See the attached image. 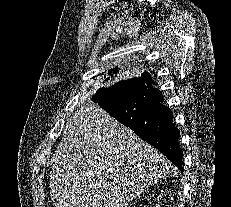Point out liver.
Instances as JSON below:
<instances>
[{"label":"liver","mask_w":231,"mask_h":207,"mask_svg":"<svg viewBox=\"0 0 231 207\" xmlns=\"http://www.w3.org/2000/svg\"><path fill=\"white\" fill-rule=\"evenodd\" d=\"M170 168L154 147L89 104L63 131L50 172L51 200L55 207H127Z\"/></svg>","instance_id":"obj_1"}]
</instances>
